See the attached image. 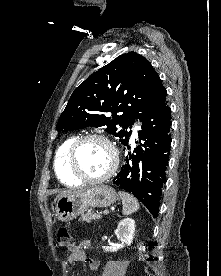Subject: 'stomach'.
I'll return each mask as SVG.
<instances>
[{
  "label": "stomach",
  "instance_id": "1",
  "mask_svg": "<svg viewBox=\"0 0 221 276\" xmlns=\"http://www.w3.org/2000/svg\"><path fill=\"white\" fill-rule=\"evenodd\" d=\"M118 196L108 185H98L87 190L60 197L56 203V215L62 222L70 221L90 207H108Z\"/></svg>",
  "mask_w": 221,
  "mask_h": 276
}]
</instances>
